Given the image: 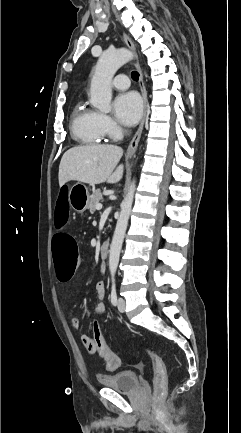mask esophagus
<instances>
[{
  "mask_svg": "<svg viewBox=\"0 0 241 433\" xmlns=\"http://www.w3.org/2000/svg\"><path fill=\"white\" fill-rule=\"evenodd\" d=\"M124 40H125V43L128 46V48L132 52H135L134 44L132 43V41L130 40V38L127 35H124ZM135 66L139 72V86H140V90H141V94H142V98H143L144 109H143V115H142L140 125H139L134 137L132 138V140L128 146L127 152H126V156L128 158L132 157L134 155L136 149H137V146H138V143H139V140L141 137V133L143 130L144 122L146 119V114H147V92H146V88H145V85L143 82L141 67H140L138 62H136Z\"/></svg>",
  "mask_w": 241,
  "mask_h": 433,
  "instance_id": "esophagus-1",
  "label": "esophagus"
}]
</instances>
